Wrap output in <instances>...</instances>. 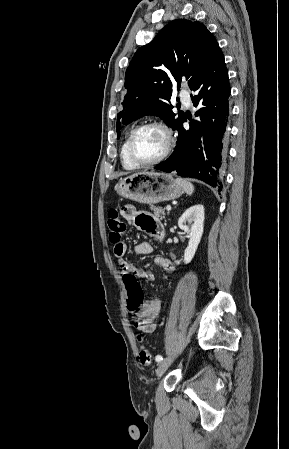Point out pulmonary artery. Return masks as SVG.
<instances>
[{
    "label": "pulmonary artery",
    "mask_w": 289,
    "mask_h": 449,
    "mask_svg": "<svg viewBox=\"0 0 289 449\" xmlns=\"http://www.w3.org/2000/svg\"><path fill=\"white\" fill-rule=\"evenodd\" d=\"M182 97V101L186 106H191L192 101H191V95L189 91H183L181 94Z\"/></svg>",
    "instance_id": "obj_1"
}]
</instances>
